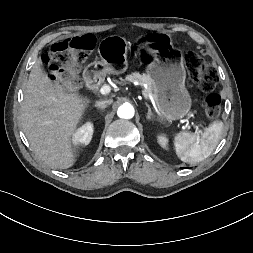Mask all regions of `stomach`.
Wrapping results in <instances>:
<instances>
[{
  "mask_svg": "<svg viewBox=\"0 0 253 253\" xmlns=\"http://www.w3.org/2000/svg\"><path fill=\"white\" fill-rule=\"evenodd\" d=\"M162 39L169 55L149 64L146 73L153 84L155 100L162 119L172 122L189 113L192 100L185 87L186 71L180 61V53L169 49L171 42L168 36L164 35ZM129 46L130 43L124 37H105L98 46L100 61L89 65L88 72L93 77L124 73L128 68Z\"/></svg>",
  "mask_w": 253,
  "mask_h": 253,
  "instance_id": "obj_1",
  "label": "stomach"
}]
</instances>
